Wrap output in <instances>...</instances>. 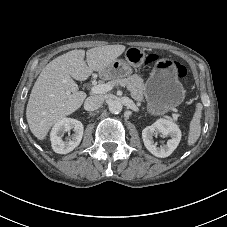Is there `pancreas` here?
Instances as JSON below:
<instances>
[{
	"instance_id": "pancreas-1",
	"label": "pancreas",
	"mask_w": 227,
	"mask_h": 227,
	"mask_svg": "<svg viewBox=\"0 0 227 227\" xmlns=\"http://www.w3.org/2000/svg\"><path fill=\"white\" fill-rule=\"evenodd\" d=\"M111 86H126L131 91V96L134 100L141 102L144 98L146 85L143 79L137 74L129 75L125 78H116L108 82Z\"/></svg>"
}]
</instances>
